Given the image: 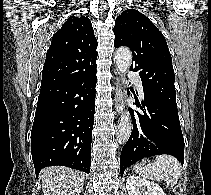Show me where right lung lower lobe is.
<instances>
[{
    "instance_id": "right-lung-lower-lobe-1",
    "label": "right lung lower lobe",
    "mask_w": 211,
    "mask_h": 195,
    "mask_svg": "<svg viewBox=\"0 0 211 195\" xmlns=\"http://www.w3.org/2000/svg\"><path fill=\"white\" fill-rule=\"evenodd\" d=\"M96 68L41 87L31 131L36 176L46 166L90 172Z\"/></svg>"
}]
</instances>
